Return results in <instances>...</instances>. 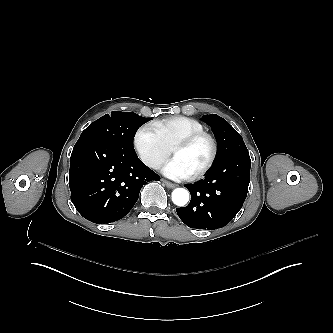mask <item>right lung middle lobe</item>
<instances>
[{"label":"right lung middle lobe","instance_id":"right-lung-middle-lobe-1","mask_svg":"<svg viewBox=\"0 0 333 333\" xmlns=\"http://www.w3.org/2000/svg\"><path fill=\"white\" fill-rule=\"evenodd\" d=\"M149 118L132 112L113 111L91 123L80 138L96 137L115 145L122 152L136 154L133 139L138 128L148 122Z\"/></svg>","mask_w":333,"mask_h":333}]
</instances>
